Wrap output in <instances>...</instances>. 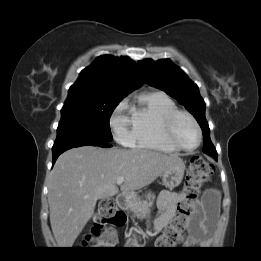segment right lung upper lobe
I'll list each match as a JSON object with an SVG mask.
<instances>
[{
    "instance_id": "obj_1",
    "label": "right lung upper lobe",
    "mask_w": 261,
    "mask_h": 261,
    "mask_svg": "<svg viewBox=\"0 0 261 261\" xmlns=\"http://www.w3.org/2000/svg\"><path fill=\"white\" fill-rule=\"evenodd\" d=\"M143 83L136 64L128 57L104 55L83 69L69 89L68 98L125 97Z\"/></svg>"
}]
</instances>
